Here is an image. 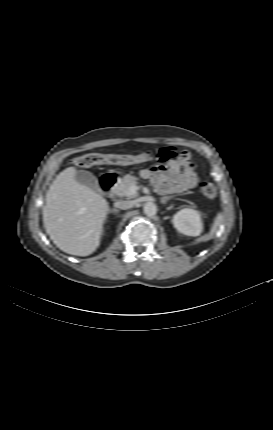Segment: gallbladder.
<instances>
[{
	"label": "gallbladder",
	"mask_w": 273,
	"mask_h": 430,
	"mask_svg": "<svg viewBox=\"0 0 273 430\" xmlns=\"http://www.w3.org/2000/svg\"><path fill=\"white\" fill-rule=\"evenodd\" d=\"M75 179L80 184L85 185L95 192H100V185L98 179L89 171L78 170L75 174Z\"/></svg>",
	"instance_id": "gallbladder-1"
}]
</instances>
